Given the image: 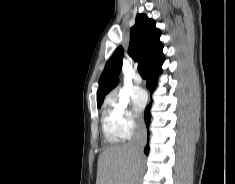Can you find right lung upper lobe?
<instances>
[{
	"mask_svg": "<svg viewBox=\"0 0 235 184\" xmlns=\"http://www.w3.org/2000/svg\"><path fill=\"white\" fill-rule=\"evenodd\" d=\"M161 32L155 21L145 14L136 16L135 25L130 29L128 53L134 60H144L146 69L164 58L163 45L159 40ZM124 50L120 46L107 61L99 79L97 105L103 103L105 95L118 84V75L122 68Z\"/></svg>",
	"mask_w": 235,
	"mask_h": 184,
	"instance_id": "obj_1",
	"label": "right lung upper lobe"
}]
</instances>
